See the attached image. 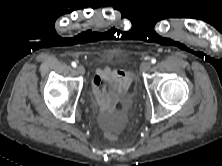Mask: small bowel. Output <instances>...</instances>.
<instances>
[{
  "mask_svg": "<svg viewBox=\"0 0 222 166\" xmlns=\"http://www.w3.org/2000/svg\"><path fill=\"white\" fill-rule=\"evenodd\" d=\"M132 83V74L123 69L98 68L91 81L95 102L103 113H110L118 102H124ZM103 124L109 121L103 117Z\"/></svg>",
  "mask_w": 222,
  "mask_h": 166,
  "instance_id": "1",
  "label": "small bowel"
}]
</instances>
